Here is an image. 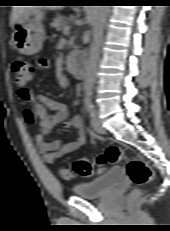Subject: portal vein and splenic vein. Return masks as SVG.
Returning a JSON list of instances; mask_svg holds the SVG:
<instances>
[{
    "label": "portal vein and splenic vein",
    "instance_id": "portal-vein-and-splenic-vein-1",
    "mask_svg": "<svg viewBox=\"0 0 170 231\" xmlns=\"http://www.w3.org/2000/svg\"><path fill=\"white\" fill-rule=\"evenodd\" d=\"M69 31H70V27H69V26H66V27L64 28V33H65L66 35H68V34H69Z\"/></svg>",
    "mask_w": 170,
    "mask_h": 231
}]
</instances>
